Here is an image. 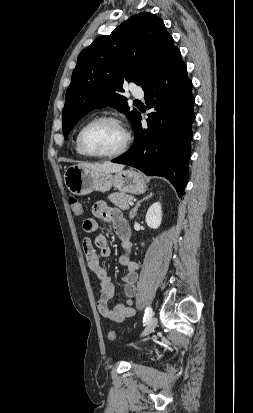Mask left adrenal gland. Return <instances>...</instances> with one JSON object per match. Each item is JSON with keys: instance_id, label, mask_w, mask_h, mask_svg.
Here are the masks:
<instances>
[{"instance_id": "obj_1", "label": "left adrenal gland", "mask_w": 253, "mask_h": 413, "mask_svg": "<svg viewBox=\"0 0 253 413\" xmlns=\"http://www.w3.org/2000/svg\"><path fill=\"white\" fill-rule=\"evenodd\" d=\"M152 195H153L152 193H149L147 196L143 197L141 200H139V201L136 203L135 207L130 211V214H129V216H130L131 219H133V218L136 216L137 210H138L139 206L141 205V203H142L144 200H147V199L151 198Z\"/></svg>"}]
</instances>
